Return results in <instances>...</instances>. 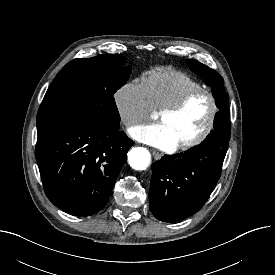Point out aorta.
I'll return each instance as SVG.
<instances>
[{"label": "aorta", "instance_id": "762f6f07", "mask_svg": "<svg viewBox=\"0 0 275 275\" xmlns=\"http://www.w3.org/2000/svg\"><path fill=\"white\" fill-rule=\"evenodd\" d=\"M128 162L135 170H145L151 162V155L145 148L135 147L128 153Z\"/></svg>", "mask_w": 275, "mask_h": 275}]
</instances>
